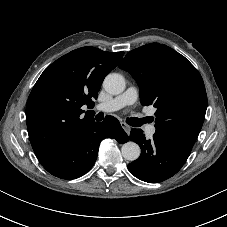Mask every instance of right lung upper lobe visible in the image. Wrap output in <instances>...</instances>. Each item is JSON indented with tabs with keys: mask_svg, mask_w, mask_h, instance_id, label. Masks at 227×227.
I'll return each mask as SVG.
<instances>
[{
	"mask_svg": "<svg viewBox=\"0 0 227 227\" xmlns=\"http://www.w3.org/2000/svg\"><path fill=\"white\" fill-rule=\"evenodd\" d=\"M123 55L82 47L62 56L41 74L26 105L28 135L41 165L94 122L89 111L81 115V107L94 105L92 100L104 78Z\"/></svg>",
	"mask_w": 227,
	"mask_h": 227,
	"instance_id": "cb5924a9",
	"label": "right lung upper lobe"
}]
</instances>
